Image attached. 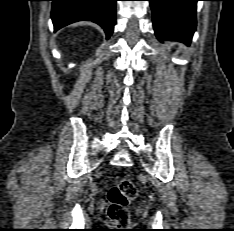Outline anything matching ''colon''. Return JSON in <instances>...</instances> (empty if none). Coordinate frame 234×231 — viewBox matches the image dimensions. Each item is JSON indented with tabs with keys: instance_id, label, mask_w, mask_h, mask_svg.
I'll list each match as a JSON object with an SVG mask.
<instances>
[{
	"instance_id": "5ec220e1",
	"label": "colon",
	"mask_w": 234,
	"mask_h": 231,
	"mask_svg": "<svg viewBox=\"0 0 234 231\" xmlns=\"http://www.w3.org/2000/svg\"><path fill=\"white\" fill-rule=\"evenodd\" d=\"M137 197V188L129 178H123L107 193V214L118 227L125 229L130 224L129 204Z\"/></svg>"
}]
</instances>
